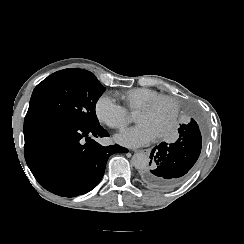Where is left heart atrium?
I'll use <instances>...</instances> for the list:
<instances>
[{
  "label": "left heart atrium",
  "instance_id": "39dd6f15",
  "mask_svg": "<svg viewBox=\"0 0 244 244\" xmlns=\"http://www.w3.org/2000/svg\"><path fill=\"white\" fill-rule=\"evenodd\" d=\"M158 135L148 126L139 124L136 128L128 130L115 137V140L128 147H137L153 141Z\"/></svg>",
  "mask_w": 244,
  "mask_h": 244
}]
</instances>
